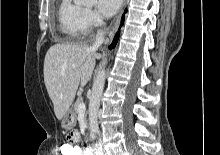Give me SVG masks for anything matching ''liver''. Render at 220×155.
<instances>
[{"instance_id": "6515ba94", "label": "liver", "mask_w": 220, "mask_h": 155, "mask_svg": "<svg viewBox=\"0 0 220 155\" xmlns=\"http://www.w3.org/2000/svg\"><path fill=\"white\" fill-rule=\"evenodd\" d=\"M99 58L95 49L76 44H55L47 51L44 83L58 120L69 110L78 86L90 80Z\"/></svg>"}]
</instances>
